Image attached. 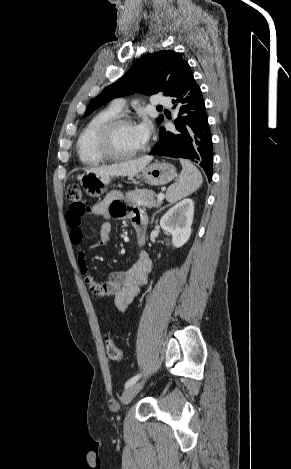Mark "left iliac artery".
<instances>
[{
    "instance_id": "44dca946",
    "label": "left iliac artery",
    "mask_w": 291,
    "mask_h": 469,
    "mask_svg": "<svg viewBox=\"0 0 291 469\" xmlns=\"http://www.w3.org/2000/svg\"><path fill=\"white\" fill-rule=\"evenodd\" d=\"M141 374H137L135 376H133L132 378H130L126 384H125V388L135 384L137 382V380L140 378Z\"/></svg>"
}]
</instances>
